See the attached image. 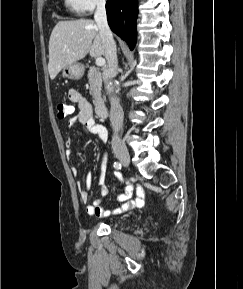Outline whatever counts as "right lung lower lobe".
<instances>
[{"instance_id":"right-lung-lower-lobe-1","label":"right lung lower lobe","mask_w":243,"mask_h":289,"mask_svg":"<svg viewBox=\"0 0 243 289\" xmlns=\"http://www.w3.org/2000/svg\"><path fill=\"white\" fill-rule=\"evenodd\" d=\"M108 24L112 31L127 42L131 50L136 44L137 0H108L106 3Z\"/></svg>"}]
</instances>
